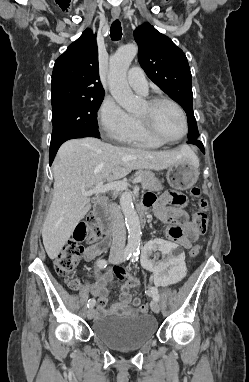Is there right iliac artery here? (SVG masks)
<instances>
[{"label": "right iliac artery", "mask_w": 249, "mask_h": 382, "mask_svg": "<svg viewBox=\"0 0 249 382\" xmlns=\"http://www.w3.org/2000/svg\"><path fill=\"white\" fill-rule=\"evenodd\" d=\"M131 255H132V251L131 250H125L122 260L123 261L128 260ZM97 266L100 269H104L107 266V261L105 259H100L97 262ZM95 303H96L95 299H89L88 303H87V307L88 308L93 307L95 305Z\"/></svg>", "instance_id": "obj_1"}]
</instances>
